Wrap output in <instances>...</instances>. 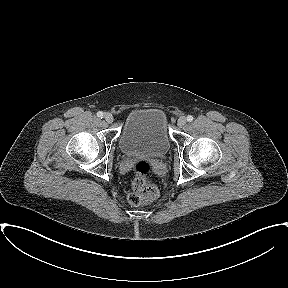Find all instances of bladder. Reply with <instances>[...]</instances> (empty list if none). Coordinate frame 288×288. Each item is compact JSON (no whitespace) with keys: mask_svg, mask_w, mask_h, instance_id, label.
Returning <instances> with one entry per match:
<instances>
[{"mask_svg":"<svg viewBox=\"0 0 288 288\" xmlns=\"http://www.w3.org/2000/svg\"><path fill=\"white\" fill-rule=\"evenodd\" d=\"M119 147L128 156H164L170 148L164 112L157 108L132 110L121 131Z\"/></svg>","mask_w":288,"mask_h":288,"instance_id":"31cf9c89","label":"bladder"}]
</instances>
